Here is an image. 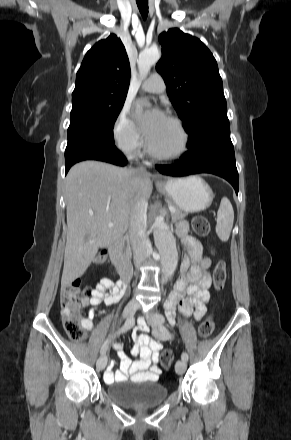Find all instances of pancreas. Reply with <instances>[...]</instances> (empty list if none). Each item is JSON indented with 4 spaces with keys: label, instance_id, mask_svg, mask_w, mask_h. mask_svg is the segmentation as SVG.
I'll return each mask as SVG.
<instances>
[{
    "label": "pancreas",
    "instance_id": "pancreas-1",
    "mask_svg": "<svg viewBox=\"0 0 291 440\" xmlns=\"http://www.w3.org/2000/svg\"><path fill=\"white\" fill-rule=\"evenodd\" d=\"M174 208L176 209V212L171 214L172 221L176 222V221H179V220L184 219L186 217V215H187L186 213H184L182 210H180L177 207H174Z\"/></svg>",
    "mask_w": 291,
    "mask_h": 440
}]
</instances>
